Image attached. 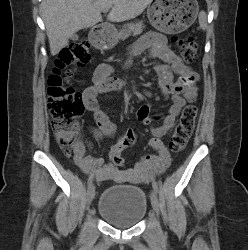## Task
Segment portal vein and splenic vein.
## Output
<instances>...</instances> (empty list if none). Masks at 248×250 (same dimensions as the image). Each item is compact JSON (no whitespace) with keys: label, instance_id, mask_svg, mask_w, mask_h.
Here are the masks:
<instances>
[{"label":"portal vein and splenic vein","instance_id":"18ae733b","mask_svg":"<svg viewBox=\"0 0 248 250\" xmlns=\"http://www.w3.org/2000/svg\"><path fill=\"white\" fill-rule=\"evenodd\" d=\"M109 11V8L103 9V13H107Z\"/></svg>","mask_w":248,"mask_h":250}]
</instances>
